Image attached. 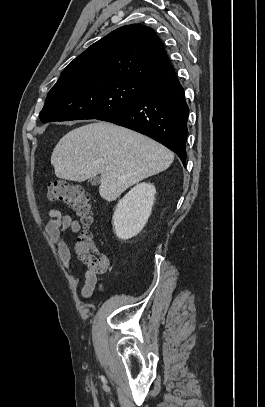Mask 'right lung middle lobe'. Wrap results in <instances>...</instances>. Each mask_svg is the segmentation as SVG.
<instances>
[{"label":"right lung middle lobe","instance_id":"right-lung-middle-lobe-1","mask_svg":"<svg viewBox=\"0 0 265 407\" xmlns=\"http://www.w3.org/2000/svg\"><path fill=\"white\" fill-rule=\"evenodd\" d=\"M150 88L133 80L103 75L67 78L52 87L39 118L43 123L97 119L135 104Z\"/></svg>","mask_w":265,"mask_h":407}]
</instances>
